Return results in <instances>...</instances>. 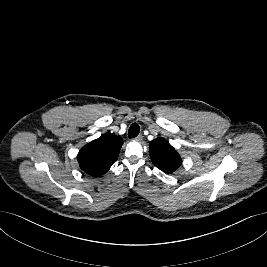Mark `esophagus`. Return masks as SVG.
<instances>
[{"instance_id":"1","label":"esophagus","mask_w":267,"mask_h":267,"mask_svg":"<svg viewBox=\"0 0 267 267\" xmlns=\"http://www.w3.org/2000/svg\"><path fill=\"white\" fill-rule=\"evenodd\" d=\"M142 138H143L142 135H138L137 137H135V140L140 142L142 141Z\"/></svg>"}]
</instances>
